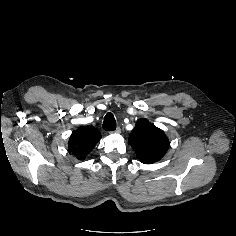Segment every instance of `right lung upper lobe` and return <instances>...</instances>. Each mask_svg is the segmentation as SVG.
Here are the masks:
<instances>
[{
    "label": "right lung upper lobe",
    "instance_id": "right-lung-upper-lobe-1",
    "mask_svg": "<svg viewBox=\"0 0 236 236\" xmlns=\"http://www.w3.org/2000/svg\"><path fill=\"white\" fill-rule=\"evenodd\" d=\"M100 138L101 133L96 128L92 126L80 127L71 135L68 149L79 160H84Z\"/></svg>",
    "mask_w": 236,
    "mask_h": 236
}]
</instances>
